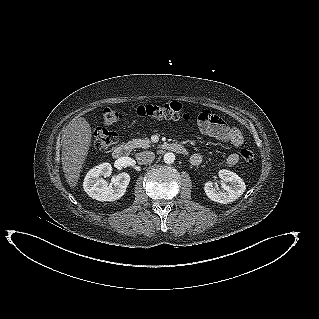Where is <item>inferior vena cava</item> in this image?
Listing matches in <instances>:
<instances>
[{
  "label": "inferior vena cava",
  "instance_id": "inferior-vena-cava-1",
  "mask_svg": "<svg viewBox=\"0 0 319 319\" xmlns=\"http://www.w3.org/2000/svg\"><path fill=\"white\" fill-rule=\"evenodd\" d=\"M155 154L152 151H143L136 154V160L141 165L150 164L154 161Z\"/></svg>",
  "mask_w": 319,
  "mask_h": 319
}]
</instances>
